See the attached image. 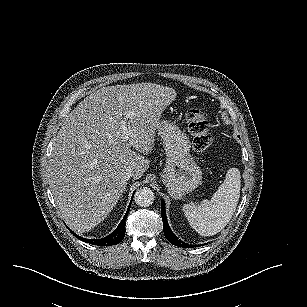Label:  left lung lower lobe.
<instances>
[{
	"label": "left lung lower lobe",
	"mask_w": 307,
	"mask_h": 307,
	"mask_svg": "<svg viewBox=\"0 0 307 307\" xmlns=\"http://www.w3.org/2000/svg\"><path fill=\"white\" fill-rule=\"evenodd\" d=\"M161 216H162V221H163L164 235H165V237L167 238V240L169 242H171L173 245H176V246H179V247H183V248L193 247V245H188V244L182 242L181 240H179L175 236V234L172 232V230L170 229L169 224L167 222V218H166L164 201H162ZM197 246H200V245H197Z\"/></svg>",
	"instance_id": "1"
}]
</instances>
